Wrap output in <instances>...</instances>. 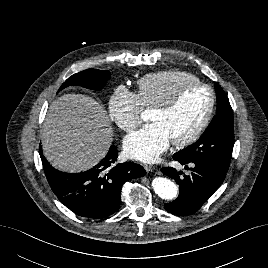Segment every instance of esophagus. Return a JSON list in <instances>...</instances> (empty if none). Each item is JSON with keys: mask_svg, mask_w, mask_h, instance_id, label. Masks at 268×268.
Here are the masks:
<instances>
[{"mask_svg": "<svg viewBox=\"0 0 268 268\" xmlns=\"http://www.w3.org/2000/svg\"><path fill=\"white\" fill-rule=\"evenodd\" d=\"M143 167L147 172H151L154 170V167L152 165H149V164H144Z\"/></svg>", "mask_w": 268, "mask_h": 268, "instance_id": "1", "label": "esophagus"}]
</instances>
